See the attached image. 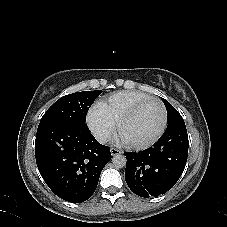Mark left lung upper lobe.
Instances as JSON below:
<instances>
[{
	"label": "left lung upper lobe",
	"instance_id": "left-lung-upper-lobe-1",
	"mask_svg": "<svg viewBox=\"0 0 227 227\" xmlns=\"http://www.w3.org/2000/svg\"><path fill=\"white\" fill-rule=\"evenodd\" d=\"M166 110H167V123L168 125H175V124H179V123H183L184 120L182 118V116L180 115V113L164 98H161Z\"/></svg>",
	"mask_w": 227,
	"mask_h": 227
}]
</instances>
